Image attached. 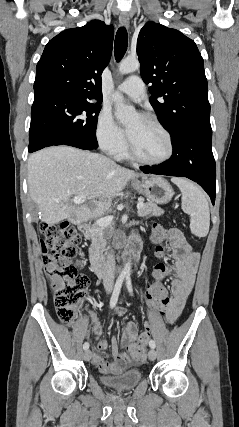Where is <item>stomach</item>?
Segmentation results:
<instances>
[{
	"label": "stomach",
	"instance_id": "stomach-1",
	"mask_svg": "<svg viewBox=\"0 0 239 427\" xmlns=\"http://www.w3.org/2000/svg\"><path fill=\"white\" fill-rule=\"evenodd\" d=\"M134 189L156 204H167L173 197L171 185L162 177L152 176L135 181Z\"/></svg>",
	"mask_w": 239,
	"mask_h": 427
}]
</instances>
